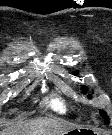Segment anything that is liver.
<instances>
[{
    "label": "liver",
    "mask_w": 112,
    "mask_h": 135,
    "mask_svg": "<svg viewBox=\"0 0 112 135\" xmlns=\"http://www.w3.org/2000/svg\"><path fill=\"white\" fill-rule=\"evenodd\" d=\"M70 128L55 120L36 119L22 123L18 135H63Z\"/></svg>",
    "instance_id": "6515ba94"
}]
</instances>
